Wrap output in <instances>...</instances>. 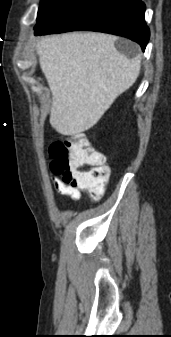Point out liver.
Segmentation results:
<instances>
[{"instance_id":"1","label":"liver","mask_w":171,"mask_h":337,"mask_svg":"<svg viewBox=\"0 0 171 337\" xmlns=\"http://www.w3.org/2000/svg\"><path fill=\"white\" fill-rule=\"evenodd\" d=\"M102 33L51 35L37 43L42 72L52 92L50 124L62 135L93 127L140 72V59L115 48Z\"/></svg>"}]
</instances>
